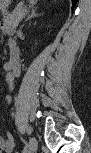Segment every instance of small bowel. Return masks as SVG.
Here are the masks:
<instances>
[{
	"label": "small bowel",
	"instance_id": "1",
	"mask_svg": "<svg viewBox=\"0 0 91 153\" xmlns=\"http://www.w3.org/2000/svg\"><path fill=\"white\" fill-rule=\"evenodd\" d=\"M12 64L14 65V58H12ZM15 74L16 72L14 70V66H12L11 70L8 73V84L10 88H12V80ZM0 148L5 153H11L14 150L15 143L10 134H7L4 138L0 139Z\"/></svg>",
	"mask_w": 91,
	"mask_h": 153
}]
</instances>
